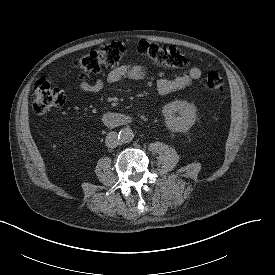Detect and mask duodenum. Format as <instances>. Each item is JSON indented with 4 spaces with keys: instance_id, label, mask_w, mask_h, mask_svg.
<instances>
[{
    "instance_id": "410a0bca",
    "label": "duodenum",
    "mask_w": 275,
    "mask_h": 275,
    "mask_svg": "<svg viewBox=\"0 0 275 275\" xmlns=\"http://www.w3.org/2000/svg\"><path fill=\"white\" fill-rule=\"evenodd\" d=\"M102 122L108 127H121L131 124L132 118L114 112H107L102 116Z\"/></svg>"
}]
</instances>
